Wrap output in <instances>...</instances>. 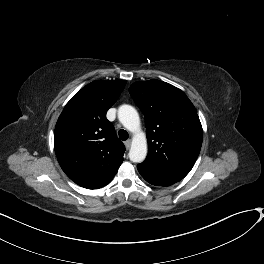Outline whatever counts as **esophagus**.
<instances>
[{"label": "esophagus", "mask_w": 264, "mask_h": 264, "mask_svg": "<svg viewBox=\"0 0 264 264\" xmlns=\"http://www.w3.org/2000/svg\"><path fill=\"white\" fill-rule=\"evenodd\" d=\"M125 145H126V147L127 148H129L130 147V145H131V140L129 139V140H127L126 142H125Z\"/></svg>", "instance_id": "obj_1"}]
</instances>
